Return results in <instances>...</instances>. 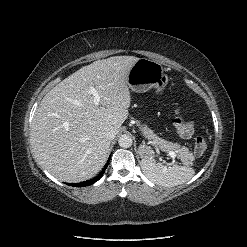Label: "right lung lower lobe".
Wrapping results in <instances>:
<instances>
[{"label":"right lung lower lobe","instance_id":"right-lung-lower-lobe-1","mask_svg":"<svg viewBox=\"0 0 247 247\" xmlns=\"http://www.w3.org/2000/svg\"><path fill=\"white\" fill-rule=\"evenodd\" d=\"M107 166H108V162L105 164L103 170L99 173V175L96 176L95 178L91 179V180H87V181L77 183V184H70V183H67V184L71 185V186H75V187H85V186L91 185V184L97 182L103 176Z\"/></svg>","mask_w":247,"mask_h":247}]
</instances>
